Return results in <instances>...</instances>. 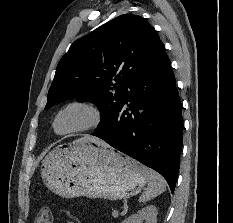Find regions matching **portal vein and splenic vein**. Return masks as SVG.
<instances>
[{
	"label": "portal vein and splenic vein",
	"mask_w": 233,
	"mask_h": 223,
	"mask_svg": "<svg viewBox=\"0 0 233 223\" xmlns=\"http://www.w3.org/2000/svg\"><path fill=\"white\" fill-rule=\"evenodd\" d=\"M112 215L113 217H118V211H113Z\"/></svg>",
	"instance_id": "18ae733b"
}]
</instances>
